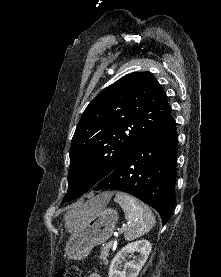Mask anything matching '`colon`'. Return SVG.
<instances>
[{"mask_svg": "<svg viewBox=\"0 0 221 277\" xmlns=\"http://www.w3.org/2000/svg\"><path fill=\"white\" fill-rule=\"evenodd\" d=\"M55 277H80V270L76 265H68L60 268Z\"/></svg>", "mask_w": 221, "mask_h": 277, "instance_id": "colon-1", "label": "colon"}]
</instances>
